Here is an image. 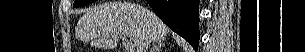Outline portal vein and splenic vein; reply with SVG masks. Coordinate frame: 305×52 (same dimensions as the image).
I'll use <instances>...</instances> for the list:
<instances>
[{
  "label": "portal vein and splenic vein",
  "instance_id": "obj_1",
  "mask_svg": "<svg viewBox=\"0 0 305 52\" xmlns=\"http://www.w3.org/2000/svg\"><path fill=\"white\" fill-rule=\"evenodd\" d=\"M122 42L125 45V48L129 51V52H134V45L128 42V39L126 37H122Z\"/></svg>",
  "mask_w": 305,
  "mask_h": 52
}]
</instances>
